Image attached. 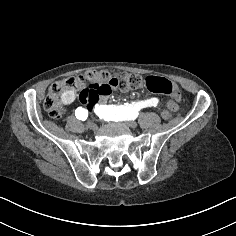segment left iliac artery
Listing matches in <instances>:
<instances>
[{"label": "left iliac artery", "mask_w": 236, "mask_h": 236, "mask_svg": "<svg viewBox=\"0 0 236 236\" xmlns=\"http://www.w3.org/2000/svg\"><path fill=\"white\" fill-rule=\"evenodd\" d=\"M158 103L157 98H152L146 101L133 102L132 104L124 103V105H95L94 112L99 116L100 119L105 121H125L135 119L138 116V111L145 107L156 106Z\"/></svg>", "instance_id": "left-iliac-artery-1"}]
</instances>
